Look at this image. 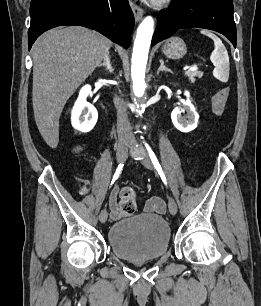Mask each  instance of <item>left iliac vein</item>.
<instances>
[{"label": "left iliac vein", "instance_id": "1", "mask_svg": "<svg viewBox=\"0 0 261 306\" xmlns=\"http://www.w3.org/2000/svg\"><path fill=\"white\" fill-rule=\"evenodd\" d=\"M132 142H134V140H132ZM141 163L147 169L154 170L153 163L149 157L144 156V158L141 160ZM168 208L172 215H175L177 213V204L172 197L168 198Z\"/></svg>", "mask_w": 261, "mask_h": 306}]
</instances>
